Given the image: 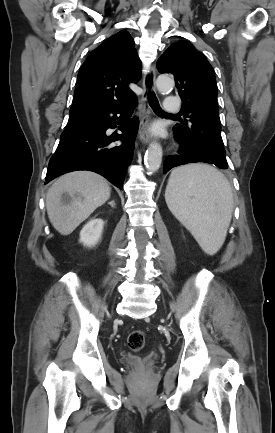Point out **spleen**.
<instances>
[{
  "label": "spleen",
  "mask_w": 275,
  "mask_h": 433,
  "mask_svg": "<svg viewBox=\"0 0 275 433\" xmlns=\"http://www.w3.org/2000/svg\"><path fill=\"white\" fill-rule=\"evenodd\" d=\"M165 200L205 253L213 255L221 248L232 218L233 193L220 171L206 164L174 169Z\"/></svg>",
  "instance_id": "3e777b00"
}]
</instances>
